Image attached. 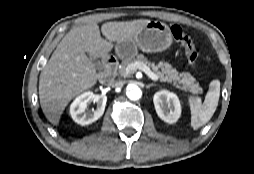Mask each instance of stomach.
Here are the masks:
<instances>
[{
    "instance_id": "1",
    "label": "stomach",
    "mask_w": 254,
    "mask_h": 174,
    "mask_svg": "<svg viewBox=\"0 0 254 174\" xmlns=\"http://www.w3.org/2000/svg\"><path fill=\"white\" fill-rule=\"evenodd\" d=\"M172 43L169 27L161 21H150L135 36L117 42L116 54L120 59L133 58L138 48L146 53H155L167 49Z\"/></svg>"
}]
</instances>
